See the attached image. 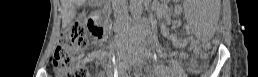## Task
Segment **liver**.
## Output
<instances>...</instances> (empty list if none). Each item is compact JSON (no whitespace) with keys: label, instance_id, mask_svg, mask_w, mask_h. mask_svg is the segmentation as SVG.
I'll use <instances>...</instances> for the list:
<instances>
[{"label":"liver","instance_id":"1","mask_svg":"<svg viewBox=\"0 0 258 77\" xmlns=\"http://www.w3.org/2000/svg\"><path fill=\"white\" fill-rule=\"evenodd\" d=\"M86 0H61L62 5V25L66 27L75 17L74 5L77 7L84 4Z\"/></svg>","mask_w":258,"mask_h":77}]
</instances>
